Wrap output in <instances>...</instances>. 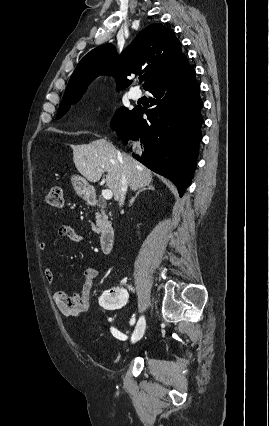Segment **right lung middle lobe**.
I'll use <instances>...</instances> for the list:
<instances>
[{"mask_svg":"<svg viewBox=\"0 0 269 426\" xmlns=\"http://www.w3.org/2000/svg\"><path fill=\"white\" fill-rule=\"evenodd\" d=\"M81 97L82 96L62 99V102L60 104V107H59V110H58V113H57V119L61 118L68 111L71 104L77 103L81 99ZM129 112L130 111H128L124 107L120 108L116 112V114H115V116H114V118L111 122L112 128L116 129L122 123V121L125 119V117L128 115Z\"/></svg>","mask_w":269,"mask_h":426,"instance_id":"dd1d6c3e","label":"right lung middle lobe"}]
</instances>
